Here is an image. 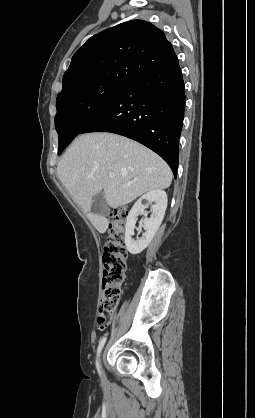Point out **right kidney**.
<instances>
[{"mask_svg": "<svg viewBox=\"0 0 255 418\" xmlns=\"http://www.w3.org/2000/svg\"><path fill=\"white\" fill-rule=\"evenodd\" d=\"M167 201L166 192L161 189H156L147 192L135 202L128 214L125 226V245L131 254L136 255L141 253L150 244L163 221ZM149 203H154V205L151 207L152 214L150 218H147L145 209ZM140 214L145 216L143 221L145 232L141 238L137 237L133 239L132 236L134 235L136 220Z\"/></svg>", "mask_w": 255, "mask_h": 418, "instance_id": "obj_1", "label": "right kidney"}]
</instances>
